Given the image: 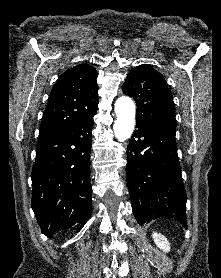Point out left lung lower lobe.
<instances>
[{
    "label": "left lung lower lobe",
    "mask_w": 221,
    "mask_h": 278,
    "mask_svg": "<svg viewBox=\"0 0 221 278\" xmlns=\"http://www.w3.org/2000/svg\"><path fill=\"white\" fill-rule=\"evenodd\" d=\"M136 128L127 147L126 173L137 222L144 224L166 216L187 228L176 125L136 122Z\"/></svg>",
    "instance_id": "left-lung-lower-lobe-1"
}]
</instances>
